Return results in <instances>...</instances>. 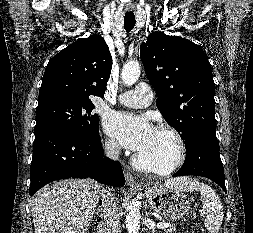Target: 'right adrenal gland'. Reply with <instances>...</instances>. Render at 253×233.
Segmentation results:
<instances>
[{
  "mask_svg": "<svg viewBox=\"0 0 253 233\" xmlns=\"http://www.w3.org/2000/svg\"><path fill=\"white\" fill-rule=\"evenodd\" d=\"M103 210V207L102 206H99L98 208H97V210H96V213H99V212H101Z\"/></svg>",
  "mask_w": 253,
  "mask_h": 233,
  "instance_id": "1",
  "label": "right adrenal gland"
}]
</instances>
